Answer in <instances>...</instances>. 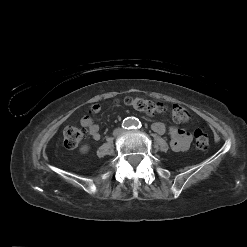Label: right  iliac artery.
I'll return each mask as SVG.
<instances>
[{"label": "right iliac artery", "mask_w": 247, "mask_h": 247, "mask_svg": "<svg viewBox=\"0 0 247 247\" xmlns=\"http://www.w3.org/2000/svg\"><path fill=\"white\" fill-rule=\"evenodd\" d=\"M132 126H131V122L130 121H127V122H123V128L125 129H130Z\"/></svg>", "instance_id": "obj_1"}]
</instances>
